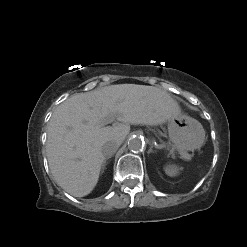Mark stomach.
I'll return each instance as SVG.
<instances>
[{
    "label": "stomach",
    "instance_id": "obj_1",
    "mask_svg": "<svg viewBox=\"0 0 247 247\" xmlns=\"http://www.w3.org/2000/svg\"><path fill=\"white\" fill-rule=\"evenodd\" d=\"M168 133L172 147L180 153L200 148L205 140L202 124L180 109L168 120Z\"/></svg>",
    "mask_w": 247,
    "mask_h": 247
}]
</instances>
